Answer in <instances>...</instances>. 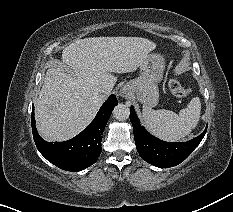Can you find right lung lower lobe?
<instances>
[{
  "label": "right lung lower lobe",
  "mask_w": 233,
  "mask_h": 212,
  "mask_svg": "<svg viewBox=\"0 0 233 212\" xmlns=\"http://www.w3.org/2000/svg\"><path fill=\"white\" fill-rule=\"evenodd\" d=\"M117 105L111 95L102 105L91 124L80 134L65 142L43 140L35 127L34 107L31 124L35 144L40 153L55 166L67 171H80L94 164L101 153V140L107 121Z\"/></svg>",
  "instance_id": "obj_1"
}]
</instances>
